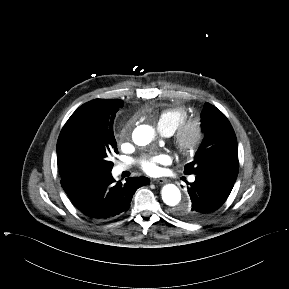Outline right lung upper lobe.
Returning a JSON list of instances; mask_svg holds the SVG:
<instances>
[{
  "label": "right lung upper lobe",
  "mask_w": 289,
  "mask_h": 289,
  "mask_svg": "<svg viewBox=\"0 0 289 289\" xmlns=\"http://www.w3.org/2000/svg\"><path fill=\"white\" fill-rule=\"evenodd\" d=\"M60 175L62 178L61 185L68 196H73L77 188L85 181L71 177L70 175L62 172L61 170Z\"/></svg>",
  "instance_id": "obj_1"
}]
</instances>
